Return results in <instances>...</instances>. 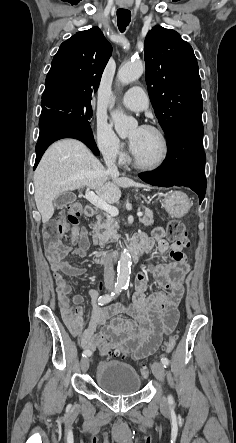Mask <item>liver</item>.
<instances>
[{"label": "liver", "instance_id": "obj_1", "mask_svg": "<svg viewBox=\"0 0 236 443\" xmlns=\"http://www.w3.org/2000/svg\"><path fill=\"white\" fill-rule=\"evenodd\" d=\"M34 186L43 223L53 216V201L61 193L86 186L111 204L120 199V188L146 187L130 178L109 174L92 152L74 139L60 140L47 149L35 170Z\"/></svg>", "mask_w": 236, "mask_h": 443}]
</instances>
